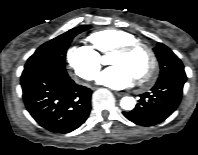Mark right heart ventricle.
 <instances>
[{"label": "right heart ventricle", "mask_w": 198, "mask_h": 155, "mask_svg": "<svg viewBox=\"0 0 198 155\" xmlns=\"http://www.w3.org/2000/svg\"><path fill=\"white\" fill-rule=\"evenodd\" d=\"M89 39L99 54L109 53L122 44L136 40L132 34L116 28L96 31L90 35Z\"/></svg>", "instance_id": "e07e8e85"}]
</instances>
